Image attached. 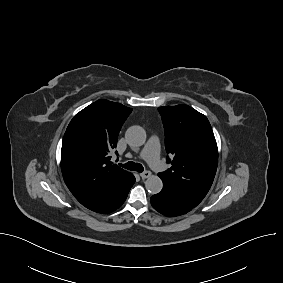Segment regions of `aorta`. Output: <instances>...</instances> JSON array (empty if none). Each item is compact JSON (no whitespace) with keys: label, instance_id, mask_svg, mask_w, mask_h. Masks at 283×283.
<instances>
[{"label":"aorta","instance_id":"1","mask_svg":"<svg viewBox=\"0 0 283 283\" xmlns=\"http://www.w3.org/2000/svg\"><path fill=\"white\" fill-rule=\"evenodd\" d=\"M125 138L130 146H142L146 141V132L140 126H131L127 129ZM145 187L150 193L157 194L162 190L163 182L157 175H152L145 181Z\"/></svg>","mask_w":283,"mask_h":283}]
</instances>
